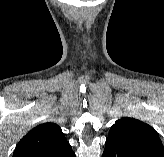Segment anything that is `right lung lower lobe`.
I'll return each instance as SVG.
<instances>
[{
  "label": "right lung lower lobe",
  "mask_w": 164,
  "mask_h": 157,
  "mask_svg": "<svg viewBox=\"0 0 164 157\" xmlns=\"http://www.w3.org/2000/svg\"><path fill=\"white\" fill-rule=\"evenodd\" d=\"M42 157H76L71 145L66 141Z\"/></svg>",
  "instance_id": "obj_1"
}]
</instances>
